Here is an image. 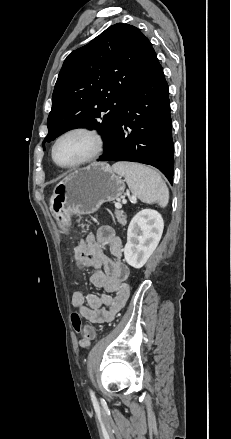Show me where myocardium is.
<instances>
[{
    "label": "myocardium",
    "mask_w": 231,
    "mask_h": 439,
    "mask_svg": "<svg viewBox=\"0 0 231 439\" xmlns=\"http://www.w3.org/2000/svg\"><path fill=\"white\" fill-rule=\"evenodd\" d=\"M75 133H83V134L90 136L93 139L94 144H95L94 149L90 155H88L87 157H85L84 159H82L78 162H75L73 164H68V165L61 164L56 158V148H57L59 142L64 137L71 135V134H75ZM104 149H105L104 137L97 129L87 127V126H76V127H72L70 129L65 130L56 138V140L54 141V144L52 146V149H51V155H52V159H53L54 163L57 166H59L61 168H65V169H71V168H76V167L82 166L84 164H87V163L95 160L103 153Z\"/></svg>",
    "instance_id": "f54148a6"
}]
</instances>
